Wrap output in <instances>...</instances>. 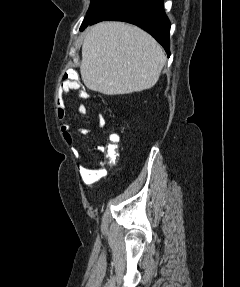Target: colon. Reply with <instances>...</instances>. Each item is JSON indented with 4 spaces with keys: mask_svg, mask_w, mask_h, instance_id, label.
<instances>
[{
    "mask_svg": "<svg viewBox=\"0 0 240 287\" xmlns=\"http://www.w3.org/2000/svg\"><path fill=\"white\" fill-rule=\"evenodd\" d=\"M68 78L67 75H65L64 80ZM120 142V136L116 133L111 134L110 136V144L108 147V160L109 162L115 161L117 158V148L118 144ZM105 164L106 162H101L99 166L96 168H82L81 169V176L84 181L87 183L93 182L99 178H101L105 173Z\"/></svg>",
    "mask_w": 240,
    "mask_h": 287,
    "instance_id": "5ec220e1",
    "label": "colon"
}]
</instances>
